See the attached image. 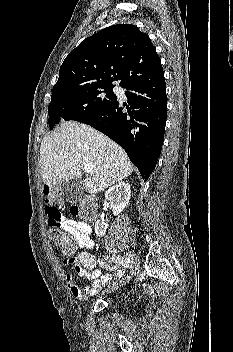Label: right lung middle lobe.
<instances>
[{
	"instance_id": "1",
	"label": "right lung middle lobe",
	"mask_w": 233,
	"mask_h": 352,
	"mask_svg": "<svg viewBox=\"0 0 233 352\" xmlns=\"http://www.w3.org/2000/svg\"><path fill=\"white\" fill-rule=\"evenodd\" d=\"M114 85H93L52 91L49 103V127L62 120H79L91 116L117 101Z\"/></svg>"
}]
</instances>
